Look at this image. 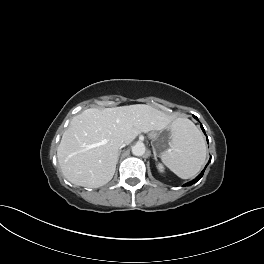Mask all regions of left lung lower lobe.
Masks as SVG:
<instances>
[{
	"label": "left lung lower lobe",
	"mask_w": 264,
	"mask_h": 264,
	"mask_svg": "<svg viewBox=\"0 0 264 264\" xmlns=\"http://www.w3.org/2000/svg\"><path fill=\"white\" fill-rule=\"evenodd\" d=\"M194 118L197 119L196 116H194ZM201 128H202L203 132L205 133V130H204V128H203L202 125H201ZM210 161H211V159L209 160V162H210ZM203 174H204V170H203V171H202V172L196 177V179H194V180H192V181L186 183L184 186H190V185L196 183L197 181H199V180L202 178Z\"/></svg>",
	"instance_id": "1"
}]
</instances>
